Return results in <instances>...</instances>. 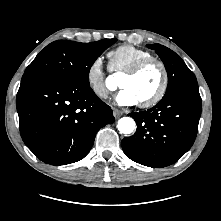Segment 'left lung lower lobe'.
<instances>
[{
    "instance_id": "left-lung-lower-lobe-1",
    "label": "left lung lower lobe",
    "mask_w": 221,
    "mask_h": 221,
    "mask_svg": "<svg viewBox=\"0 0 221 221\" xmlns=\"http://www.w3.org/2000/svg\"><path fill=\"white\" fill-rule=\"evenodd\" d=\"M201 109L198 88H184L164 96L147 111L130 113L137 130L122 140L124 153L153 168L175 163L195 141Z\"/></svg>"
}]
</instances>
